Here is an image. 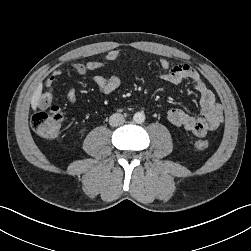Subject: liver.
Segmentation results:
<instances>
[{"instance_id": "liver-1", "label": "liver", "mask_w": 251, "mask_h": 251, "mask_svg": "<svg viewBox=\"0 0 251 251\" xmlns=\"http://www.w3.org/2000/svg\"><path fill=\"white\" fill-rule=\"evenodd\" d=\"M42 83H39L31 98V107L36 110L42 93Z\"/></svg>"}]
</instances>
